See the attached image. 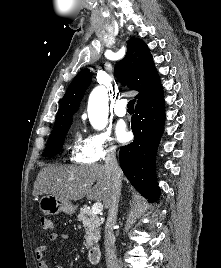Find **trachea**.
<instances>
[{
  "instance_id": "obj_1",
  "label": "trachea",
  "mask_w": 221,
  "mask_h": 268,
  "mask_svg": "<svg viewBox=\"0 0 221 268\" xmlns=\"http://www.w3.org/2000/svg\"><path fill=\"white\" fill-rule=\"evenodd\" d=\"M136 100H130L127 107L129 110H134V104Z\"/></svg>"
}]
</instances>
